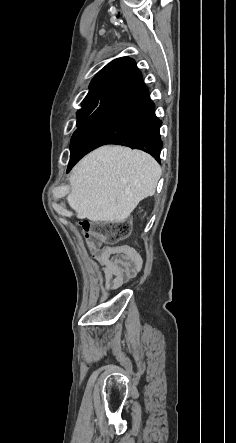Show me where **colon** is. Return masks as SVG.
Masks as SVG:
<instances>
[{
  "label": "colon",
  "instance_id": "obj_1",
  "mask_svg": "<svg viewBox=\"0 0 236 443\" xmlns=\"http://www.w3.org/2000/svg\"><path fill=\"white\" fill-rule=\"evenodd\" d=\"M81 227L85 236L90 239L92 249L101 243H116L126 238L131 229L130 221L127 219L95 226L83 221Z\"/></svg>",
  "mask_w": 236,
  "mask_h": 443
}]
</instances>
